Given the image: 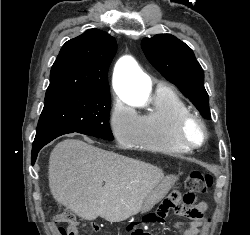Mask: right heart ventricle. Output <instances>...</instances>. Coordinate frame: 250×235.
Segmentation results:
<instances>
[{"label": "right heart ventricle", "mask_w": 250, "mask_h": 235, "mask_svg": "<svg viewBox=\"0 0 250 235\" xmlns=\"http://www.w3.org/2000/svg\"><path fill=\"white\" fill-rule=\"evenodd\" d=\"M190 112L181 97L166 85L158 86L148 110L139 116V137L135 144L138 148L165 155L179 156L188 150L175 138L177 119Z\"/></svg>", "instance_id": "1"}]
</instances>
